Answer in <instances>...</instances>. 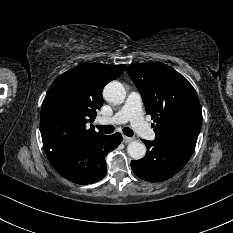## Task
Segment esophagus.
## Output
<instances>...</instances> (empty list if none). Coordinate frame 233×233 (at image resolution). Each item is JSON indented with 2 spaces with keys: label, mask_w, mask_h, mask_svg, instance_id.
<instances>
[{
  "label": "esophagus",
  "mask_w": 233,
  "mask_h": 233,
  "mask_svg": "<svg viewBox=\"0 0 233 233\" xmlns=\"http://www.w3.org/2000/svg\"><path fill=\"white\" fill-rule=\"evenodd\" d=\"M134 140H135L134 137L123 136V142L124 143H130V142H132Z\"/></svg>",
  "instance_id": "obj_1"
}]
</instances>
